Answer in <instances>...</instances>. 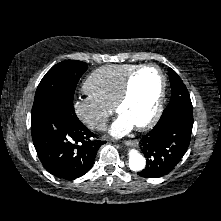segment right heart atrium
Returning a JSON list of instances; mask_svg holds the SVG:
<instances>
[{
    "instance_id": "right-heart-atrium-1",
    "label": "right heart atrium",
    "mask_w": 221,
    "mask_h": 221,
    "mask_svg": "<svg viewBox=\"0 0 221 221\" xmlns=\"http://www.w3.org/2000/svg\"><path fill=\"white\" fill-rule=\"evenodd\" d=\"M73 110L78 119L93 130H102L112 109L90 97H78L73 102Z\"/></svg>"
}]
</instances>
